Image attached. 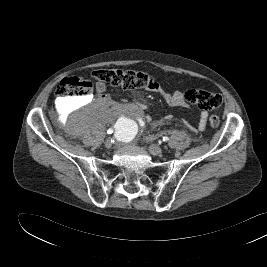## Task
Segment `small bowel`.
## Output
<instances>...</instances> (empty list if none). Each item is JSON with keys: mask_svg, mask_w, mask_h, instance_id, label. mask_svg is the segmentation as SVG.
Segmentation results:
<instances>
[{"mask_svg": "<svg viewBox=\"0 0 267 267\" xmlns=\"http://www.w3.org/2000/svg\"><path fill=\"white\" fill-rule=\"evenodd\" d=\"M148 90L160 94L169 107H181V108H187L188 107V103L185 100L184 93L181 91L168 92V91L164 90L159 84H157L155 87L148 89ZM105 91H106L105 84L103 82H98L96 84V92L99 95H102L106 100H109V97L104 95ZM140 107H142V106H140ZM207 116H208V114L206 111H202L200 113V119H199V123H198L199 130L205 129ZM145 120L150 122L151 117L146 116ZM158 123L159 122H157L156 124H158Z\"/></svg>", "mask_w": 267, "mask_h": 267, "instance_id": "c3829d8e", "label": "small bowel"}]
</instances>
